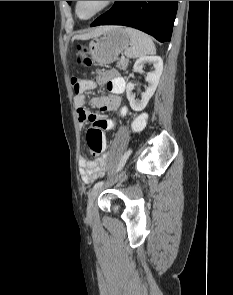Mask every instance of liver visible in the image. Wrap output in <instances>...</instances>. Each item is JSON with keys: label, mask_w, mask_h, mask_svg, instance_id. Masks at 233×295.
Masks as SVG:
<instances>
[{"label": "liver", "mask_w": 233, "mask_h": 295, "mask_svg": "<svg viewBox=\"0 0 233 295\" xmlns=\"http://www.w3.org/2000/svg\"><path fill=\"white\" fill-rule=\"evenodd\" d=\"M107 29L106 26H101L98 27L96 29H94L93 31L83 34V35H78V36H74L73 39H79V40H87L89 38L92 37H96L98 35H101L105 30Z\"/></svg>", "instance_id": "obj_1"}]
</instances>
